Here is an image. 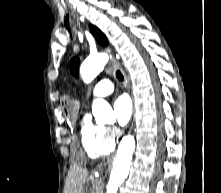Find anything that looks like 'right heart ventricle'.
<instances>
[{
  "instance_id": "e07e8e85",
  "label": "right heart ventricle",
  "mask_w": 221,
  "mask_h": 193,
  "mask_svg": "<svg viewBox=\"0 0 221 193\" xmlns=\"http://www.w3.org/2000/svg\"><path fill=\"white\" fill-rule=\"evenodd\" d=\"M80 139L85 153L90 158H98L110 154L114 149V141L109 139L106 127L94 123L86 114L81 121Z\"/></svg>"
}]
</instances>
